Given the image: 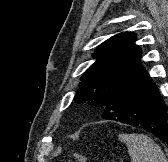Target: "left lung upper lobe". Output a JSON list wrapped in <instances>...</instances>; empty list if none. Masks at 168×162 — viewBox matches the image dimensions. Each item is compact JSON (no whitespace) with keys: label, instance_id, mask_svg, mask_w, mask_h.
I'll list each match as a JSON object with an SVG mask.
<instances>
[{"label":"left lung upper lobe","instance_id":"5c2ea615","mask_svg":"<svg viewBox=\"0 0 168 162\" xmlns=\"http://www.w3.org/2000/svg\"><path fill=\"white\" fill-rule=\"evenodd\" d=\"M135 40L132 32L120 33L96 48V61L82 75L75 102L105 109L110 95L142 68Z\"/></svg>","mask_w":168,"mask_h":162}]
</instances>
